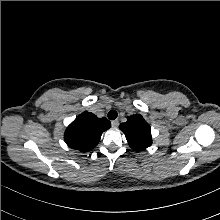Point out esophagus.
Returning a JSON list of instances; mask_svg holds the SVG:
<instances>
[{
	"instance_id": "34e87169",
	"label": "esophagus",
	"mask_w": 220,
	"mask_h": 220,
	"mask_svg": "<svg viewBox=\"0 0 220 220\" xmlns=\"http://www.w3.org/2000/svg\"><path fill=\"white\" fill-rule=\"evenodd\" d=\"M111 124H112V127L116 128V127H118V125H119V121H118V120H113V121L111 122Z\"/></svg>"
}]
</instances>
